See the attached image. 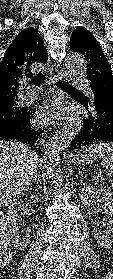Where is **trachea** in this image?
Listing matches in <instances>:
<instances>
[{
  "instance_id": "1",
  "label": "trachea",
  "mask_w": 113,
  "mask_h": 279,
  "mask_svg": "<svg viewBox=\"0 0 113 279\" xmlns=\"http://www.w3.org/2000/svg\"><path fill=\"white\" fill-rule=\"evenodd\" d=\"M44 79H45V76L41 72H39L37 75H35L32 78V84H34L35 86H39L44 81ZM57 85L64 88V89H71V90L74 89L68 83L58 82Z\"/></svg>"
}]
</instances>
